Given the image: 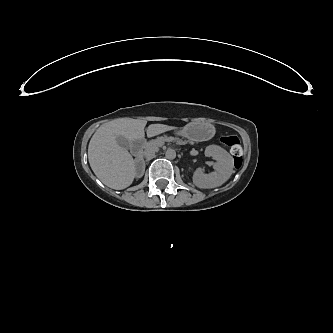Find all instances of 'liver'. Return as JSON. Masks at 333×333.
Wrapping results in <instances>:
<instances>
[{
  "mask_svg": "<svg viewBox=\"0 0 333 333\" xmlns=\"http://www.w3.org/2000/svg\"><path fill=\"white\" fill-rule=\"evenodd\" d=\"M88 159L95 175L111 188L123 189L129 186L135 177V161L132 155L118 144L117 137H93L88 147Z\"/></svg>",
  "mask_w": 333,
  "mask_h": 333,
  "instance_id": "obj_1",
  "label": "liver"
}]
</instances>
